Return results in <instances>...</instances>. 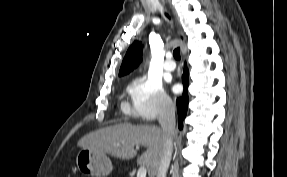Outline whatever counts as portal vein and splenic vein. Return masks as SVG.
Here are the masks:
<instances>
[{
    "label": "portal vein and splenic vein",
    "mask_w": 287,
    "mask_h": 177,
    "mask_svg": "<svg viewBox=\"0 0 287 177\" xmlns=\"http://www.w3.org/2000/svg\"><path fill=\"white\" fill-rule=\"evenodd\" d=\"M136 148L138 149L139 146H136ZM146 175H147V170H146V168H145L144 166L140 167V168L138 169V172H137V177H146Z\"/></svg>",
    "instance_id": "obj_1"
}]
</instances>
